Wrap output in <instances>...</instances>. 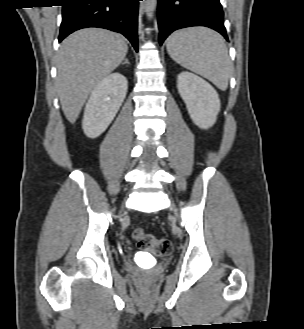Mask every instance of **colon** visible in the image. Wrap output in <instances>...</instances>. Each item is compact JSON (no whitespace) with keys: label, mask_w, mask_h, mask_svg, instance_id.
I'll return each mask as SVG.
<instances>
[{"label":"colon","mask_w":304,"mask_h":329,"mask_svg":"<svg viewBox=\"0 0 304 329\" xmlns=\"http://www.w3.org/2000/svg\"><path fill=\"white\" fill-rule=\"evenodd\" d=\"M132 236L141 248L148 250L157 257H166L172 251V243L169 239L157 237L141 227L135 228Z\"/></svg>","instance_id":"5ec220e1"}]
</instances>
